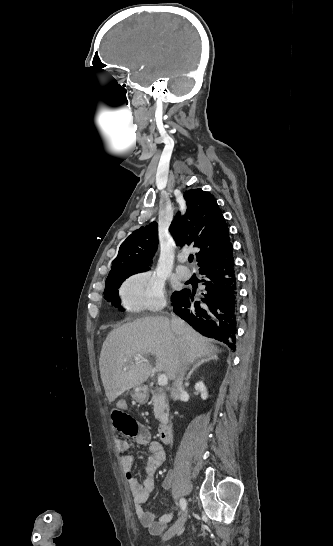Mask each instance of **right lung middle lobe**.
I'll return each instance as SVG.
<instances>
[{
  "label": "right lung middle lobe",
  "mask_w": 333,
  "mask_h": 546,
  "mask_svg": "<svg viewBox=\"0 0 333 546\" xmlns=\"http://www.w3.org/2000/svg\"><path fill=\"white\" fill-rule=\"evenodd\" d=\"M145 270H118L110 272L105 284V299L109 302H112V305L119 307L120 306V300L118 297V288L122 284V282L128 278L129 276L143 272ZM121 311H124L122 307H120Z\"/></svg>",
  "instance_id": "obj_1"
}]
</instances>
